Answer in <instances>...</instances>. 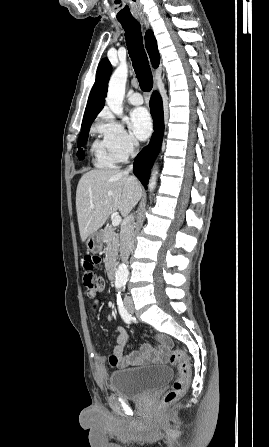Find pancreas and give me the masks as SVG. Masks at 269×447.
<instances>
[{"mask_svg": "<svg viewBox=\"0 0 269 447\" xmlns=\"http://www.w3.org/2000/svg\"><path fill=\"white\" fill-rule=\"evenodd\" d=\"M102 231L106 243V257L104 259L105 267L106 269H110L112 263H116L119 249V237L118 233H115L112 225H105Z\"/></svg>", "mask_w": 269, "mask_h": 447, "instance_id": "cf45deb5", "label": "pancreas"}]
</instances>
